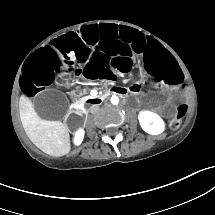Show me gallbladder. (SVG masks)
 <instances>
[{"mask_svg": "<svg viewBox=\"0 0 215 215\" xmlns=\"http://www.w3.org/2000/svg\"><path fill=\"white\" fill-rule=\"evenodd\" d=\"M34 108L38 115L49 121L61 119L67 107V101L56 89L41 91L33 99Z\"/></svg>", "mask_w": 215, "mask_h": 215, "instance_id": "bac80fb5", "label": "gallbladder"}]
</instances>
